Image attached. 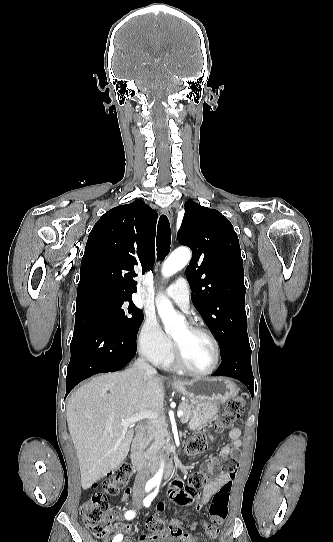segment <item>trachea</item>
I'll use <instances>...</instances> for the list:
<instances>
[{
	"mask_svg": "<svg viewBox=\"0 0 333 542\" xmlns=\"http://www.w3.org/2000/svg\"><path fill=\"white\" fill-rule=\"evenodd\" d=\"M157 257L158 260H163L170 251L171 232L169 220L166 215H161L157 227Z\"/></svg>",
	"mask_w": 333,
	"mask_h": 542,
	"instance_id": "obj_1",
	"label": "trachea"
}]
</instances>
